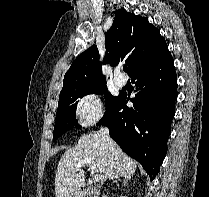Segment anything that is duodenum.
Returning <instances> with one entry per match:
<instances>
[{
  "label": "duodenum",
  "mask_w": 209,
  "mask_h": 197,
  "mask_svg": "<svg viewBox=\"0 0 209 197\" xmlns=\"http://www.w3.org/2000/svg\"><path fill=\"white\" fill-rule=\"evenodd\" d=\"M80 194L83 197H97V191L91 185L85 184L80 188Z\"/></svg>",
  "instance_id": "duodenum-1"
}]
</instances>
